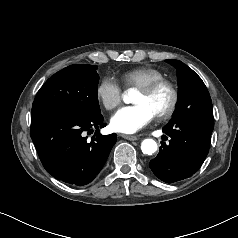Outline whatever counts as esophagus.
I'll list each match as a JSON object with an SVG mask.
<instances>
[{"label": "esophagus", "mask_w": 238, "mask_h": 238, "mask_svg": "<svg viewBox=\"0 0 238 238\" xmlns=\"http://www.w3.org/2000/svg\"><path fill=\"white\" fill-rule=\"evenodd\" d=\"M120 136L130 141L138 140V137L134 135L121 134Z\"/></svg>", "instance_id": "obj_1"}]
</instances>
